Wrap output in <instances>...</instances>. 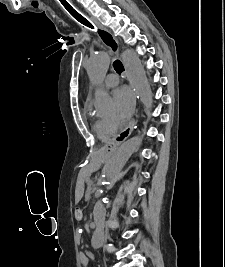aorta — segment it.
<instances>
[{
	"mask_svg": "<svg viewBox=\"0 0 225 267\" xmlns=\"http://www.w3.org/2000/svg\"><path fill=\"white\" fill-rule=\"evenodd\" d=\"M122 62L131 86L139 95L146 109L150 111L153 103L152 91L140 59L132 50L126 49L122 54ZM109 66L110 59L104 52L93 55L86 66L89 78L98 88L94 105L99 111H106L112 106L111 97L102 89ZM141 140V135L135 136L124 142L114 153L103 172V185L106 190H110L113 187L121 170L135 152ZM105 215L106 208L103 201L99 199L93 209L96 229L92 236L91 244L94 248L100 247L103 243Z\"/></svg>",
	"mask_w": 225,
	"mask_h": 267,
	"instance_id": "aorta-1",
	"label": "aorta"
}]
</instances>
